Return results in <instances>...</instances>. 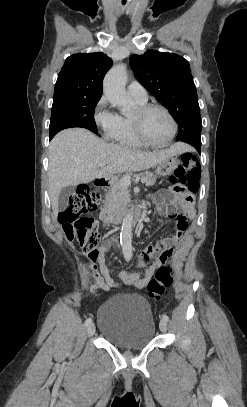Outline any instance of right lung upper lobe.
Masks as SVG:
<instances>
[{"mask_svg":"<svg viewBox=\"0 0 247 407\" xmlns=\"http://www.w3.org/2000/svg\"><path fill=\"white\" fill-rule=\"evenodd\" d=\"M112 60L103 53H80L66 59L55 84L54 98H100L104 75Z\"/></svg>","mask_w":247,"mask_h":407,"instance_id":"1","label":"right lung upper lobe"}]
</instances>
